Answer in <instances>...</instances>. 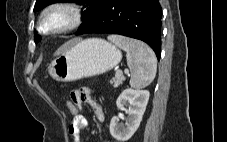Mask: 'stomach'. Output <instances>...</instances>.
<instances>
[{
    "mask_svg": "<svg viewBox=\"0 0 227 142\" xmlns=\"http://www.w3.org/2000/svg\"><path fill=\"white\" fill-rule=\"evenodd\" d=\"M121 51L98 38L77 41L55 58L48 68L52 78L72 82L103 74L119 64Z\"/></svg>",
    "mask_w": 227,
    "mask_h": 142,
    "instance_id": "stomach-1",
    "label": "stomach"
}]
</instances>
